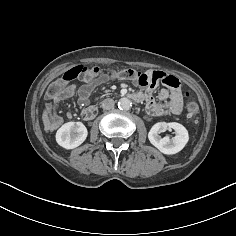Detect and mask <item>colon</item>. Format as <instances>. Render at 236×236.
I'll list each match as a JSON object with an SVG mask.
<instances>
[{
  "label": "colon",
  "instance_id": "5ec220e1",
  "mask_svg": "<svg viewBox=\"0 0 236 236\" xmlns=\"http://www.w3.org/2000/svg\"><path fill=\"white\" fill-rule=\"evenodd\" d=\"M101 72V69L96 66H85L78 65L69 70H67L62 79L54 84H52L48 91L47 96L53 102H59L62 99V94L65 89H62L63 85L69 84L71 85V89H75L79 86V82L91 83L96 76ZM112 76L117 79H132L139 77L140 83L145 85L147 83V77L144 74L136 73L131 68H124L121 70L114 71ZM165 84L169 87H174L178 84V81L170 76ZM67 89V88H66ZM187 115L191 119L193 125H198L200 120V109L199 106L191 102L187 105Z\"/></svg>",
  "mask_w": 236,
  "mask_h": 236
}]
</instances>
